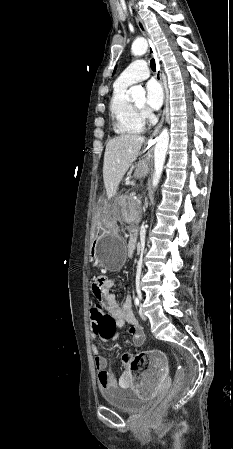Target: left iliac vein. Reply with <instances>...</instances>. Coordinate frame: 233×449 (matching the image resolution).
I'll use <instances>...</instances> for the list:
<instances>
[{
  "label": "left iliac vein",
  "instance_id": "4c4485c4",
  "mask_svg": "<svg viewBox=\"0 0 233 449\" xmlns=\"http://www.w3.org/2000/svg\"><path fill=\"white\" fill-rule=\"evenodd\" d=\"M139 315H140V318H141L143 321H146V320H147V317L145 316V314H144L142 308H140V310H139Z\"/></svg>",
  "mask_w": 233,
  "mask_h": 449
}]
</instances>
